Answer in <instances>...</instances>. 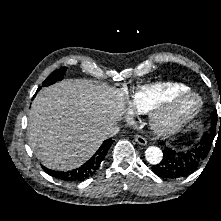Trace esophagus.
I'll list each match as a JSON object with an SVG mask.
<instances>
[{
    "label": "esophagus",
    "instance_id": "esophagus-1",
    "mask_svg": "<svg viewBox=\"0 0 221 221\" xmlns=\"http://www.w3.org/2000/svg\"><path fill=\"white\" fill-rule=\"evenodd\" d=\"M134 139L138 144H140L142 146H145L147 144V140L141 135H138V134L135 135Z\"/></svg>",
    "mask_w": 221,
    "mask_h": 221
}]
</instances>
